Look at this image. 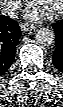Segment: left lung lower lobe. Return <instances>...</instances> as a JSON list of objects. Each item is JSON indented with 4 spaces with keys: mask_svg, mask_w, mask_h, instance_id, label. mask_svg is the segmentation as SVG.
<instances>
[{
    "mask_svg": "<svg viewBox=\"0 0 63 107\" xmlns=\"http://www.w3.org/2000/svg\"><path fill=\"white\" fill-rule=\"evenodd\" d=\"M56 32V48L52 57L54 66L63 73V20L53 26Z\"/></svg>",
    "mask_w": 63,
    "mask_h": 107,
    "instance_id": "1",
    "label": "left lung lower lobe"
}]
</instances>
